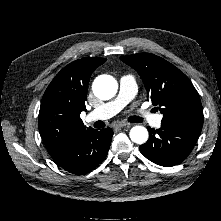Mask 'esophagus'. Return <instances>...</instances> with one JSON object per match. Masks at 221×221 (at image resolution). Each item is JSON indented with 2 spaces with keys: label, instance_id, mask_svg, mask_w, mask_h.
Returning a JSON list of instances; mask_svg holds the SVG:
<instances>
[{
  "label": "esophagus",
  "instance_id": "obj_1",
  "mask_svg": "<svg viewBox=\"0 0 221 221\" xmlns=\"http://www.w3.org/2000/svg\"><path fill=\"white\" fill-rule=\"evenodd\" d=\"M117 128H123V127H130V123H127V122H119L117 125H116Z\"/></svg>",
  "mask_w": 221,
  "mask_h": 221
}]
</instances>
